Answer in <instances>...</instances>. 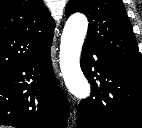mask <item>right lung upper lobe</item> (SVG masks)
I'll list each match as a JSON object with an SVG mask.
<instances>
[{
    "instance_id": "obj_1",
    "label": "right lung upper lobe",
    "mask_w": 142,
    "mask_h": 128,
    "mask_svg": "<svg viewBox=\"0 0 142 128\" xmlns=\"http://www.w3.org/2000/svg\"><path fill=\"white\" fill-rule=\"evenodd\" d=\"M53 30L42 0H0V75L43 53Z\"/></svg>"
}]
</instances>
